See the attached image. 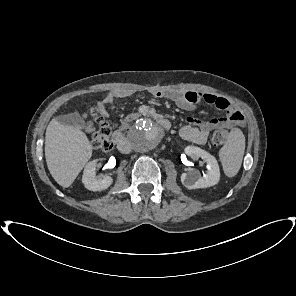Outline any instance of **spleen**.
<instances>
[{
  "mask_svg": "<svg viewBox=\"0 0 296 296\" xmlns=\"http://www.w3.org/2000/svg\"><path fill=\"white\" fill-rule=\"evenodd\" d=\"M245 151V136L239 128L230 131L227 141L219 151L220 161L224 173L228 177H234L242 164Z\"/></svg>",
  "mask_w": 296,
  "mask_h": 296,
  "instance_id": "3e777b00",
  "label": "spleen"
}]
</instances>
